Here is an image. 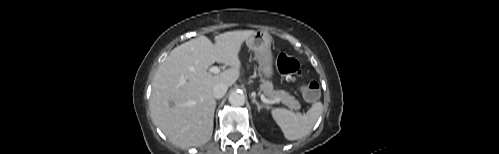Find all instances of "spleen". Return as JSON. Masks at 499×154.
Instances as JSON below:
<instances>
[{
    "label": "spleen",
    "instance_id": "obj_1",
    "mask_svg": "<svg viewBox=\"0 0 499 154\" xmlns=\"http://www.w3.org/2000/svg\"><path fill=\"white\" fill-rule=\"evenodd\" d=\"M323 104L315 102L306 114L294 113L285 108H275L271 115L288 140H298L309 134L322 114Z\"/></svg>",
    "mask_w": 499,
    "mask_h": 154
}]
</instances>
